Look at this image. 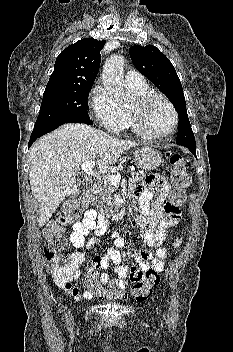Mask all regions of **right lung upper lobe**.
<instances>
[{
  "instance_id": "obj_1",
  "label": "right lung upper lobe",
  "mask_w": 233,
  "mask_h": 352,
  "mask_svg": "<svg viewBox=\"0 0 233 352\" xmlns=\"http://www.w3.org/2000/svg\"><path fill=\"white\" fill-rule=\"evenodd\" d=\"M105 41L84 38L63 50L56 59L46 88L92 85L97 76Z\"/></svg>"
}]
</instances>
